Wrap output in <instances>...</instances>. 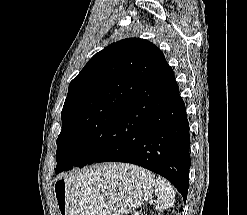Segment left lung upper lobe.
<instances>
[{
	"mask_svg": "<svg viewBox=\"0 0 247 215\" xmlns=\"http://www.w3.org/2000/svg\"><path fill=\"white\" fill-rule=\"evenodd\" d=\"M151 42L128 38L96 53L70 82L57 139L56 173L72 168L87 148L94 154L103 138L164 61Z\"/></svg>",
	"mask_w": 247,
	"mask_h": 215,
	"instance_id": "obj_1",
	"label": "left lung upper lobe"
}]
</instances>
